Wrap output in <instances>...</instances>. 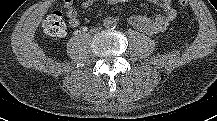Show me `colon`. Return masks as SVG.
<instances>
[{"label":"colon","mask_w":217,"mask_h":121,"mask_svg":"<svg viewBox=\"0 0 217 121\" xmlns=\"http://www.w3.org/2000/svg\"><path fill=\"white\" fill-rule=\"evenodd\" d=\"M180 6H186L188 0H175ZM43 28L45 32L50 36L61 37L67 32V27L64 22L62 13L55 11L47 15L43 21Z\"/></svg>","instance_id":"1"}]
</instances>
